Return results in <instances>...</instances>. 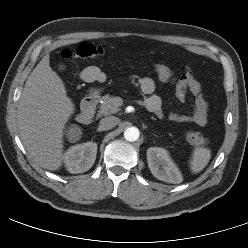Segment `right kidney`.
Returning a JSON list of instances; mask_svg holds the SVG:
<instances>
[{"mask_svg": "<svg viewBox=\"0 0 248 248\" xmlns=\"http://www.w3.org/2000/svg\"><path fill=\"white\" fill-rule=\"evenodd\" d=\"M96 154L97 144L94 142L72 146L64 154L65 167L70 173H83L93 166Z\"/></svg>", "mask_w": 248, "mask_h": 248, "instance_id": "ca27d5eb", "label": "right kidney"}]
</instances>
